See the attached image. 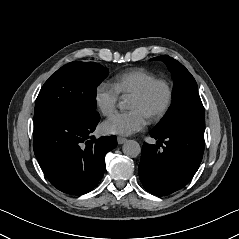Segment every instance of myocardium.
<instances>
[{"label": "myocardium", "mask_w": 239, "mask_h": 239, "mask_svg": "<svg viewBox=\"0 0 239 239\" xmlns=\"http://www.w3.org/2000/svg\"><path fill=\"white\" fill-rule=\"evenodd\" d=\"M156 86H160L163 89L164 95L161 103L156 108L146 114L148 118L157 117L163 114L168 109L172 98V91L169 83L164 79H155L149 82L141 90H139L129 98L134 101L142 100L146 96H148L152 89Z\"/></svg>", "instance_id": "obj_1"}]
</instances>
